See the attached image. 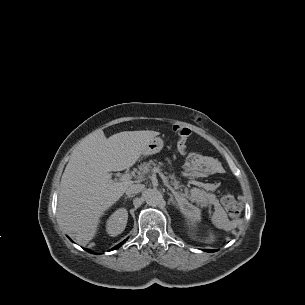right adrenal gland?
<instances>
[{"label": "right adrenal gland", "mask_w": 305, "mask_h": 305, "mask_svg": "<svg viewBox=\"0 0 305 305\" xmlns=\"http://www.w3.org/2000/svg\"><path fill=\"white\" fill-rule=\"evenodd\" d=\"M135 195H129V196H125L124 198L127 199V198H133Z\"/></svg>", "instance_id": "obj_1"}]
</instances>
